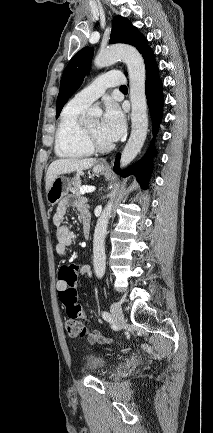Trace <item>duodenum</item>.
Wrapping results in <instances>:
<instances>
[{
    "mask_svg": "<svg viewBox=\"0 0 213 433\" xmlns=\"http://www.w3.org/2000/svg\"><path fill=\"white\" fill-rule=\"evenodd\" d=\"M83 233L87 239L90 238V226H84Z\"/></svg>",
    "mask_w": 213,
    "mask_h": 433,
    "instance_id": "obj_1",
    "label": "duodenum"
}]
</instances>
